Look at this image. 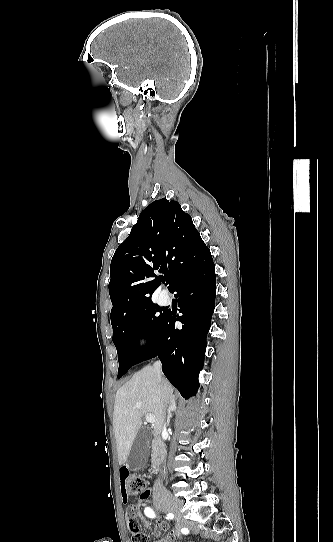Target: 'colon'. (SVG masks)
<instances>
[{
	"instance_id": "obj_1",
	"label": "colon",
	"mask_w": 333,
	"mask_h": 542,
	"mask_svg": "<svg viewBox=\"0 0 333 542\" xmlns=\"http://www.w3.org/2000/svg\"><path fill=\"white\" fill-rule=\"evenodd\" d=\"M128 482V495L137 496L138 498L145 496L146 482L142 476L131 473L130 477H128ZM125 508L128 513H135L138 507L135 502H128ZM130 528L134 532L132 542H149V537L145 532H139L137 524H131Z\"/></svg>"
}]
</instances>
